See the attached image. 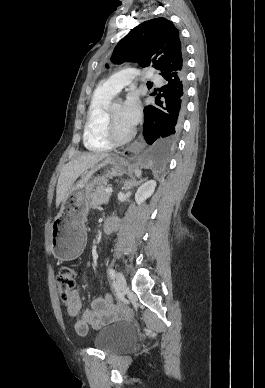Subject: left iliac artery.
<instances>
[{
  "label": "left iliac artery",
  "instance_id": "left-iliac-artery-1",
  "mask_svg": "<svg viewBox=\"0 0 265 388\" xmlns=\"http://www.w3.org/2000/svg\"><path fill=\"white\" fill-rule=\"evenodd\" d=\"M108 273H109V276L111 277V279L115 278L116 272L113 268H109Z\"/></svg>",
  "mask_w": 265,
  "mask_h": 388
}]
</instances>
